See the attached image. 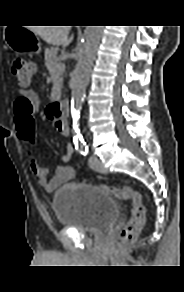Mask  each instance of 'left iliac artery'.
Instances as JSON below:
<instances>
[{"label":"left iliac artery","instance_id":"obj_1","mask_svg":"<svg viewBox=\"0 0 184 292\" xmlns=\"http://www.w3.org/2000/svg\"><path fill=\"white\" fill-rule=\"evenodd\" d=\"M79 151L82 155L86 156L89 152L88 146L87 145H83L79 148Z\"/></svg>","mask_w":184,"mask_h":292}]
</instances>
